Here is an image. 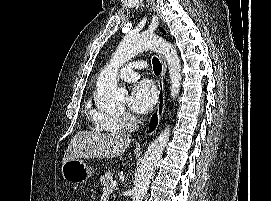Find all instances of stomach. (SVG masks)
Listing matches in <instances>:
<instances>
[{"label":"stomach","mask_w":271,"mask_h":201,"mask_svg":"<svg viewBox=\"0 0 271 201\" xmlns=\"http://www.w3.org/2000/svg\"><path fill=\"white\" fill-rule=\"evenodd\" d=\"M92 174L91 168L81 159L69 160L62 165L63 178L73 185L86 182Z\"/></svg>","instance_id":"1"}]
</instances>
